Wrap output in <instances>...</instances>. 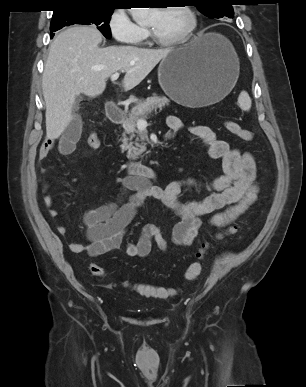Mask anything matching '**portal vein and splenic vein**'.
<instances>
[{"instance_id":"obj_1","label":"portal vein and splenic vein","mask_w":306,"mask_h":387,"mask_svg":"<svg viewBox=\"0 0 306 387\" xmlns=\"http://www.w3.org/2000/svg\"><path fill=\"white\" fill-rule=\"evenodd\" d=\"M119 75H120V74H119L118 72H117V73H114V74L111 76V80H112V81L117 80L118 77H119ZM136 124H137L138 127H146V126H147V121H146L145 119H143V118H139V119H137Z\"/></svg>"}]
</instances>
